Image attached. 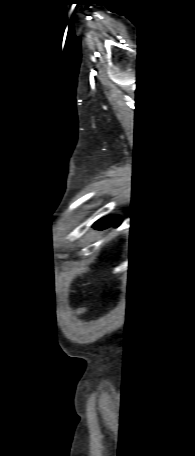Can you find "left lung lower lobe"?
I'll use <instances>...</instances> for the list:
<instances>
[{"label": "left lung lower lobe", "instance_id": "obj_1", "mask_svg": "<svg viewBox=\"0 0 195 456\" xmlns=\"http://www.w3.org/2000/svg\"><path fill=\"white\" fill-rule=\"evenodd\" d=\"M119 223H120V220H119L118 217L108 216L106 218H103V219L97 221L94 224V227H96V228H104V227L109 226L110 224H119Z\"/></svg>", "mask_w": 195, "mask_h": 456}]
</instances>
